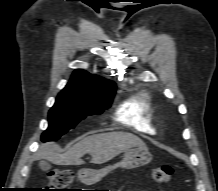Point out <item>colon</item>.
<instances>
[{
	"instance_id": "obj_1",
	"label": "colon",
	"mask_w": 218,
	"mask_h": 191,
	"mask_svg": "<svg viewBox=\"0 0 218 191\" xmlns=\"http://www.w3.org/2000/svg\"><path fill=\"white\" fill-rule=\"evenodd\" d=\"M173 168L169 165L159 166L152 172L153 179L160 184L171 180ZM48 191H71L68 186L72 182V173L69 170H55L49 174Z\"/></svg>"
}]
</instances>
